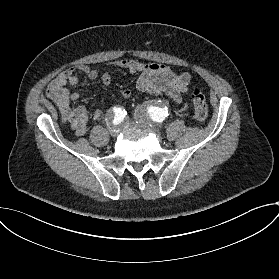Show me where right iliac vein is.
Returning <instances> with one entry per match:
<instances>
[{
    "label": "right iliac vein",
    "mask_w": 279,
    "mask_h": 279,
    "mask_svg": "<svg viewBox=\"0 0 279 279\" xmlns=\"http://www.w3.org/2000/svg\"><path fill=\"white\" fill-rule=\"evenodd\" d=\"M109 131H110L111 136H113V137H117L118 136L119 132L117 130V126L111 125Z\"/></svg>",
    "instance_id": "63e3f726"
}]
</instances>
